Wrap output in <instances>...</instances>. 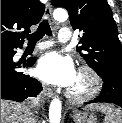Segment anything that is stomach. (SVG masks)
I'll use <instances>...</instances> for the list:
<instances>
[{"instance_id":"stomach-1","label":"stomach","mask_w":122,"mask_h":123,"mask_svg":"<svg viewBox=\"0 0 122 123\" xmlns=\"http://www.w3.org/2000/svg\"><path fill=\"white\" fill-rule=\"evenodd\" d=\"M73 121L74 123H97L96 117L86 111L74 113Z\"/></svg>"}]
</instances>
